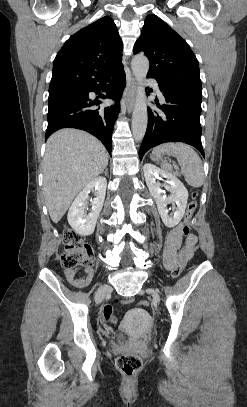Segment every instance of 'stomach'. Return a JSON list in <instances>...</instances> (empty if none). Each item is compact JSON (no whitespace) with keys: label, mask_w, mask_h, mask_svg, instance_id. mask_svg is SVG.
<instances>
[{"label":"stomach","mask_w":247,"mask_h":407,"mask_svg":"<svg viewBox=\"0 0 247 407\" xmlns=\"http://www.w3.org/2000/svg\"><path fill=\"white\" fill-rule=\"evenodd\" d=\"M162 157H163V153H160V154H153L152 153V155H151V158L153 159V160H158V159H162Z\"/></svg>","instance_id":"stomach-1"}]
</instances>
